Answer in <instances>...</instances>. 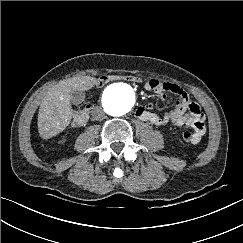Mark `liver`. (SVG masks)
<instances>
[{"label":"liver","mask_w":243,"mask_h":243,"mask_svg":"<svg viewBox=\"0 0 243 243\" xmlns=\"http://www.w3.org/2000/svg\"><path fill=\"white\" fill-rule=\"evenodd\" d=\"M90 77L69 78L53 86L44 96L38 113V132L48 139L62 132L72 118L71 92L85 90Z\"/></svg>","instance_id":"liver-1"}]
</instances>
